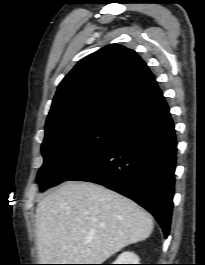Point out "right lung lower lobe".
I'll return each mask as SVG.
<instances>
[{"label":"right lung lower lobe","instance_id":"98d812e1","mask_svg":"<svg viewBox=\"0 0 205 265\" xmlns=\"http://www.w3.org/2000/svg\"><path fill=\"white\" fill-rule=\"evenodd\" d=\"M177 142L169 107L162 96L123 123L110 143L68 180L103 185L147 209L169 235Z\"/></svg>","mask_w":205,"mask_h":265}]
</instances>
